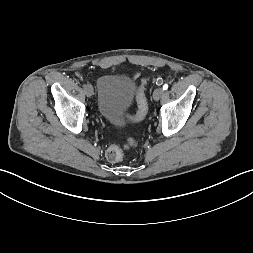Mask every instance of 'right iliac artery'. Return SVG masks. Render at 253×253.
I'll return each mask as SVG.
<instances>
[{
  "label": "right iliac artery",
  "mask_w": 253,
  "mask_h": 253,
  "mask_svg": "<svg viewBox=\"0 0 253 253\" xmlns=\"http://www.w3.org/2000/svg\"><path fill=\"white\" fill-rule=\"evenodd\" d=\"M82 87L85 88V87H86V84H83Z\"/></svg>",
  "instance_id": "82829eb1"
}]
</instances>
